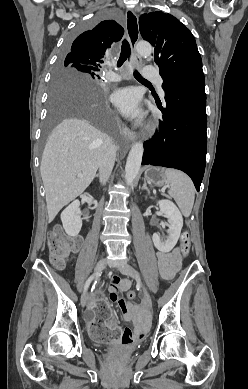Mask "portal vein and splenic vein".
<instances>
[{
	"instance_id": "18ae733b",
	"label": "portal vein and splenic vein",
	"mask_w": 248,
	"mask_h": 389,
	"mask_svg": "<svg viewBox=\"0 0 248 389\" xmlns=\"http://www.w3.org/2000/svg\"><path fill=\"white\" fill-rule=\"evenodd\" d=\"M77 176H78V177H83V174H82V173H79Z\"/></svg>"
}]
</instances>
